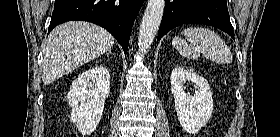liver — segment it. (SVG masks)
Returning <instances> with one entry per match:
<instances>
[{
	"instance_id": "obj_1",
	"label": "liver",
	"mask_w": 280,
	"mask_h": 137,
	"mask_svg": "<svg viewBox=\"0 0 280 137\" xmlns=\"http://www.w3.org/2000/svg\"><path fill=\"white\" fill-rule=\"evenodd\" d=\"M114 37L102 27L82 21L57 26L43 50L42 80L49 85L75 68L99 57L114 45Z\"/></svg>"
}]
</instances>
